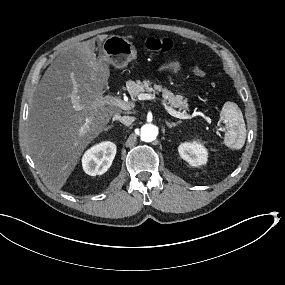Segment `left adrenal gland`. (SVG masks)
Here are the masks:
<instances>
[{
    "mask_svg": "<svg viewBox=\"0 0 285 285\" xmlns=\"http://www.w3.org/2000/svg\"><path fill=\"white\" fill-rule=\"evenodd\" d=\"M181 123V121H177L176 123L175 122H168V121H166V125L169 127V128H172V127H175V126H177L178 124H180Z\"/></svg>",
    "mask_w": 285,
    "mask_h": 285,
    "instance_id": "left-adrenal-gland-1",
    "label": "left adrenal gland"
}]
</instances>
